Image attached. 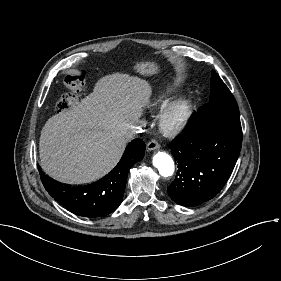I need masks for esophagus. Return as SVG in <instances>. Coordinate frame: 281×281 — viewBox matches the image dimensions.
Returning a JSON list of instances; mask_svg holds the SVG:
<instances>
[{
  "label": "esophagus",
  "mask_w": 281,
  "mask_h": 281,
  "mask_svg": "<svg viewBox=\"0 0 281 281\" xmlns=\"http://www.w3.org/2000/svg\"><path fill=\"white\" fill-rule=\"evenodd\" d=\"M160 148V145L159 143L155 140V139H152L148 144H147V149L148 150H156Z\"/></svg>",
  "instance_id": "34e87169"
}]
</instances>
